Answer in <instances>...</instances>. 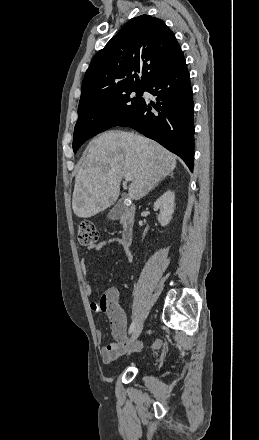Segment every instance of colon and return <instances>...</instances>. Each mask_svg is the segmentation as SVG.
I'll return each instance as SVG.
<instances>
[{
  "label": "colon",
  "instance_id": "obj_1",
  "mask_svg": "<svg viewBox=\"0 0 259 440\" xmlns=\"http://www.w3.org/2000/svg\"><path fill=\"white\" fill-rule=\"evenodd\" d=\"M98 231L95 225L90 221L80 223L78 230V240L81 245L93 246L98 241Z\"/></svg>",
  "mask_w": 259,
  "mask_h": 440
}]
</instances>
